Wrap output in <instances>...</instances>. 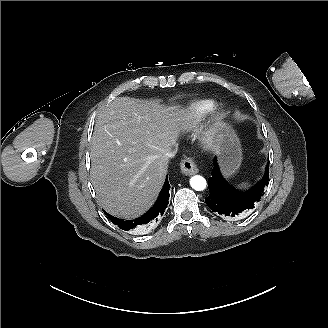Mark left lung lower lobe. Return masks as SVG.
I'll return each instance as SVG.
<instances>
[{
	"label": "left lung lower lobe",
	"instance_id": "left-lung-lower-lobe-1",
	"mask_svg": "<svg viewBox=\"0 0 328 328\" xmlns=\"http://www.w3.org/2000/svg\"><path fill=\"white\" fill-rule=\"evenodd\" d=\"M268 180L269 165L267 164L265 175L257 185L246 191L236 189L223 178L217 159L214 158L212 177L208 179L210 194L205 202L213 212L223 217L236 218L246 215L260 200Z\"/></svg>",
	"mask_w": 328,
	"mask_h": 328
}]
</instances>
